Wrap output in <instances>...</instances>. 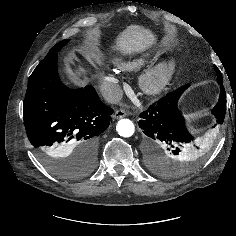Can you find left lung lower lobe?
Returning <instances> with one entry per match:
<instances>
[{
  "mask_svg": "<svg viewBox=\"0 0 236 236\" xmlns=\"http://www.w3.org/2000/svg\"><path fill=\"white\" fill-rule=\"evenodd\" d=\"M220 85V98L212 110L217 123L222 124L226 113V94L222 85L221 72L215 67ZM189 85L182 86L141 113L139 127L143 130L146 146V160L150 167L162 169L168 160L192 157L198 147L188 132L185 120L179 113L177 102Z\"/></svg>",
  "mask_w": 236,
  "mask_h": 236,
  "instance_id": "1",
  "label": "left lung lower lobe"
}]
</instances>
